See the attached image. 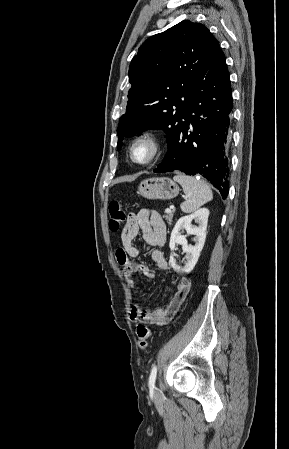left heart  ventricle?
I'll use <instances>...</instances> for the list:
<instances>
[{"label": "left heart ventricle", "mask_w": 289, "mask_h": 449, "mask_svg": "<svg viewBox=\"0 0 289 449\" xmlns=\"http://www.w3.org/2000/svg\"><path fill=\"white\" fill-rule=\"evenodd\" d=\"M151 149L145 143L138 144L134 149V157L136 160L143 161L150 155Z\"/></svg>", "instance_id": "obj_1"}]
</instances>
